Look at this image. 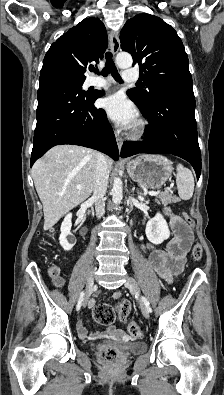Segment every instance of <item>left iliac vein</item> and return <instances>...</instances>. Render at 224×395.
<instances>
[{
	"label": "left iliac vein",
	"instance_id": "1",
	"mask_svg": "<svg viewBox=\"0 0 224 395\" xmlns=\"http://www.w3.org/2000/svg\"><path fill=\"white\" fill-rule=\"evenodd\" d=\"M125 286L128 289L134 291V293L140 298L139 302H140V308L142 310V313H143L145 318H149V313L150 312H149L147 306L145 305V303L143 302V300L141 298V291H140V287H139L137 281L134 278H132V277H127Z\"/></svg>",
	"mask_w": 224,
	"mask_h": 395
}]
</instances>
